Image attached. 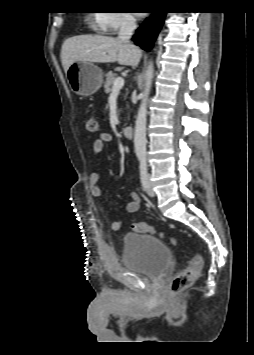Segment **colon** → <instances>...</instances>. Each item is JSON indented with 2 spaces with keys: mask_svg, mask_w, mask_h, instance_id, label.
Wrapping results in <instances>:
<instances>
[{
  "mask_svg": "<svg viewBox=\"0 0 254 355\" xmlns=\"http://www.w3.org/2000/svg\"><path fill=\"white\" fill-rule=\"evenodd\" d=\"M85 129L90 134L98 132V121L95 118H88L85 120ZM133 230L137 233H149L156 234V229L145 222H135L132 226ZM162 235V234H160ZM171 243L175 245L177 242L175 239H170ZM204 261L201 255L193 254L189 265L176 273L170 281V289L173 292H181L192 286L195 279L199 276L203 267Z\"/></svg>",
  "mask_w": 254,
  "mask_h": 355,
  "instance_id": "colon-1",
  "label": "colon"
}]
</instances>
